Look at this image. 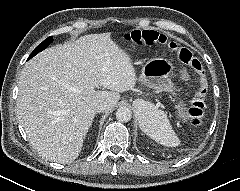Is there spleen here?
<instances>
[{"mask_svg":"<svg viewBox=\"0 0 240 191\" xmlns=\"http://www.w3.org/2000/svg\"><path fill=\"white\" fill-rule=\"evenodd\" d=\"M140 128L151 139L161 145L175 147L180 144V140L172 129L167 115L163 111L155 109L153 105L149 104L145 109L141 117Z\"/></svg>","mask_w":240,"mask_h":191,"instance_id":"spleen-1","label":"spleen"}]
</instances>
